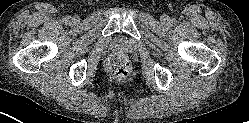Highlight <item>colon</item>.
Listing matches in <instances>:
<instances>
[{"label":"colon","instance_id":"obj_1","mask_svg":"<svg viewBox=\"0 0 249 123\" xmlns=\"http://www.w3.org/2000/svg\"><path fill=\"white\" fill-rule=\"evenodd\" d=\"M110 77L116 81L126 80L131 72V64L128 57L120 52L112 54L106 63Z\"/></svg>","mask_w":249,"mask_h":123}]
</instances>
